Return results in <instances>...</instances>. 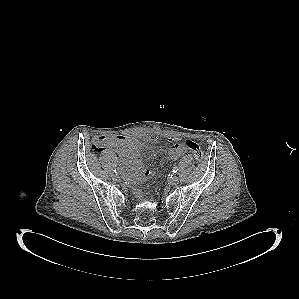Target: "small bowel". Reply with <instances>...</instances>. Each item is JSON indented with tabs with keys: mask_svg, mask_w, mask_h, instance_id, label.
Segmentation results:
<instances>
[{
	"mask_svg": "<svg viewBox=\"0 0 299 299\" xmlns=\"http://www.w3.org/2000/svg\"><path fill=\"white\" fill-rule=\"evenodd\" d=\"M106 146L114 148L116 157L123 163L131 180L142 182L154 176V172L146 168L142 162L140 157L142 143L139 139L129 136L109 137ZM187 149L184 144L176 143L168 149V158L176 160L183 156Z\"/></svg>",
	"mask_w": 299,
	"mask_h": 299,
	"instance_id": "1",
	"label": "small bowel"
}]
</instances>
